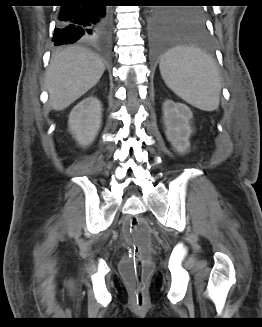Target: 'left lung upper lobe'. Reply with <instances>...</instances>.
Masks as SVG:
<instances>
[{
    "instance_id": "5c2ea615",
    "label": "left lung upper lobe",
    "mask_w": 262,
    "mask_h": 327,
    "mask_svg": "<svg viewBox=\"0 0 262 327\" xmlns=\"http://www.w3.org/2000/svg\"><path fill=\"white\" fill-rule=\"evenodd\" d=\"M171 16L178 22L185 24H202L204 15L200 7H188L169 10Z\"/></svg>"
}]
</instances>
